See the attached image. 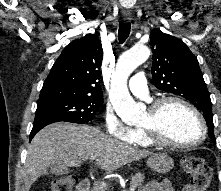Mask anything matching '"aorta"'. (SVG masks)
<instances>
[{
  "mask_svg": "<svg viewBox=\"0 0 221 191\" xmlns=\"http://www.w3.org/2000/svg\"><path fill=\"white\" fill-rule=\"evenodd\" d=\"M149 56L150 49L147 46L137 45L123 53L118 59L111 83L110 100L116 113L125 123H135L144 111L143 106L136 103L131 97L127 79Z\"/></svg>",
  "mask_w": 221,
  "mask_h": 191,
  "instance_id": "762f6f07",
  "label": "aorta"
}]
</instances>
